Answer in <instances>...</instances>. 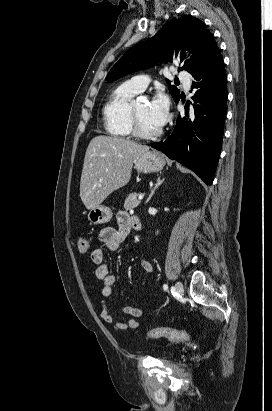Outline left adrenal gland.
Wrapping results in <instances>:
<instances>
[{"label":"left adrenal gland","mask_w":272,"mask_h":411,"mask_svg":"<svg viewBox=\"0 0 272 411\" xmlns=\"http://www.w3.org/2000/svg\"><path fill=\"white\" fill-rule=\"evenodd\" d=\"M163 182H164V178L161 179V177H158L155 186L152 188L151 193H150L149 197H148L147 200H146V203H148V202L151 200V198H152V196L154 195L156 189H157Z\"/></svg>","instance_id":"a2214340"}]
</instances>
